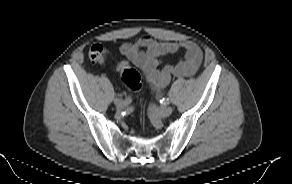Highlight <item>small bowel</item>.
<instances>
[{
    "mask_svg": "<svg viewBox=\"0 0 292 184\" xmlns=\"http://www.w3.org/2000/svg\"><path fill=\"white\" fill-rule=\"evenodd\" d=\"M180 49L184 51L182 60L175 64H167L162 69H157L160 58L167 54H174ZM120 53L126 59L140 68L147 80L160 89L169 84L172 77H188L194 75L202 61L201 49L192 41L181 43L156 41L149 36L125 42L120 46ZM128 65L127 61L118 63L120 70Z\"/></svg>",
    "mask_w": 292,
    "mask_h": 184,
    "instance_id": "small-bowel-1",
    "label": "small bowel"
}]
</instances>
